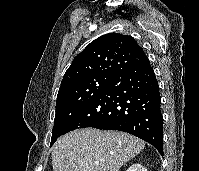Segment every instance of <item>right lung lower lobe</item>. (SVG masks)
<instances>
[{
  "mask_svg": "<svg viewBox=\"0 0 199 171\" xmlns=\"http://www.w3.org/2000/svg\"><path fill=\"white\" fill-rule=\"evenodd\" d=\"M159 85L149 59L119 72L83 105L62 135L93 127L133 134L163 155V117Z\"/></svg>",
  "mask_w": 199,
  "mask_h": 171,
  "instance_id": "98d812e1",
  "label": "right lung lower lobe"
}]
</instances>
